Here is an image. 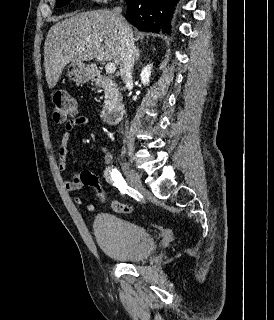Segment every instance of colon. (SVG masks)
<instances>
[{
    "label": "colon",
    "mask_w": 274,
    "mask_h": 320,
    "mask_svg": "<svg viewBox=\"0 0 274 320\" xmlns=\"http://www.w3.org/2000/svg\"><path fill=\"white\" fill-rule=\"evenodd\" d=\"M51 100L53 105V120L58 123L68 121V124L70 125L71 121L76 117L77 102L68 95L65 89H60L53 92ZM79 174L80 175H75V182H81L82 186H90V188L94 189L96 192H101L103 190L102 183L97 182V175H91V169H80ZM99 199L102 202L107 201L110 208L118 214H128L132 211V208L128 204L114 200L108 201L102 193H100Z\"/></svg>",
    "instance_id": "5ec220e1"
}]
</instances>
